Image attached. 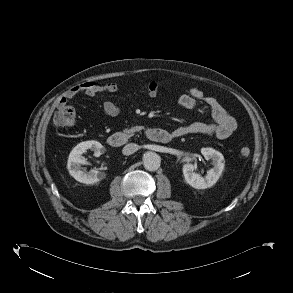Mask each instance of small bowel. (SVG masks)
Segmentation results:
<instances>
[{"instance_id": "small-bowel-1", "label": "small bowel", "mask_w": 293, "mask_h": 293, "mask_svg": "<svg viewBox=\"0 0 293 293\" xmlns=\"http://www.w3.org/2000/svg\"><path fill=\"white\" fill-rule=\"evenodd\" d=\"M118 90V85L113 82L105 84L86 82L76 85L68 90L59 100V104H66L70 99H73L79 94L94 97L101 93H115ZM158 94L159 84L151 82L147 89V96L149 98H156ZM200 102L204 103L209 109L213 122H196L178 127L172 131L171 134L173 137H182L189 134H204L214 135L219 139L228 138L236 130L237 123L234 117L224 109L215 97L205 95L198 87H192L188 93L183 94L178 98V105L181 108L189 110L196 109ZM103 110L111 117H114L119 113L118 106L112 101H105L103 104Z\"/></svg>"}]
</instances>
